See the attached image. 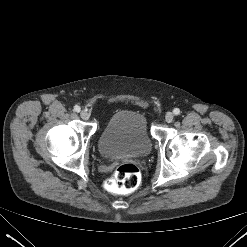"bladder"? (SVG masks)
Listing matches in <instances>:
<instances>
[{
  "instance_id": "31cf9c89",
  "label": "bladder",
  "mask_w": 247,
  "mask_h": 247,
  "mask_svg": "<svg viewBox=\"0 0 247 247\" xmlns=\"http://www.w3.org/2000/svg\"><path fill=\"white\" fill-rule=\"evenodd\" d=\"M151 149L146 117L134 110H120L113 114L98 139V150L106 159L142 157Z\"/></svg>"
}]
</instances>
